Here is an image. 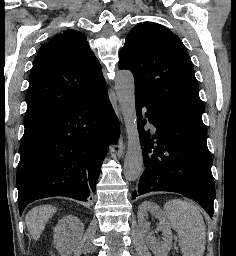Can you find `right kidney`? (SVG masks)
Returning <instances> with one entry per match:
<instances>
[{"label": "right kidney", "mask_w": 236, "mask_h": 256, "mask_svg": "<svg viewBox=\"0 0 236 256\" xmlns=\"http://www.w3.org/2000/svg\"><path fill=\"white\" fill-rule=\"evenodd\" d=\"M84 224L76 216H64L54 228V248L60 256H71L83 246Z\"/></svg>", "instance_id": "right-kidney-1"}]
</instances>
